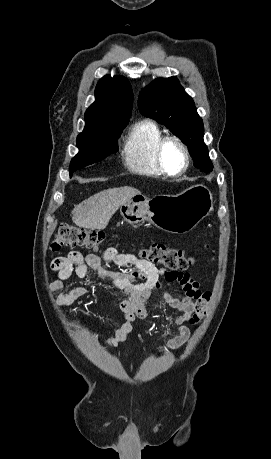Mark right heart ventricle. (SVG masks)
<instances>
[{"label": "right heart ventricle", "instance_id": "e07e8e85", "mask_svg": "<svg viewBox=\"0 0 271 459\" xmlns=\"http://www.w3.org/2000/svg\"><path fill=\"white\" fill-rule=\"evenodd\" d=\"M162 135L163 130L152 120L144 119L135 123L125 137L122 147V158L126 168L139 175L165 178L166 174L155 159V146Z\"/></svg>", "mask_w": 271, "mask_h": 459}]
</instances>
